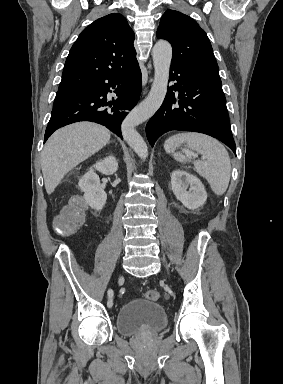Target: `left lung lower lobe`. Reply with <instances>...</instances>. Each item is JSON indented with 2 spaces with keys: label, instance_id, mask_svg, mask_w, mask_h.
<instances>
[{
  "label": "left lung lower lobe",
  "instance_id": "obj_1",
  "mask_svg": "<svg viewBox=\"0 0 283 384\" xmlns=\"http://www.w3.org/2000/svg\"><path fill=\"white\" fill-rule=\"evenodd\" d=\"M170 77L176 83L146 127L151 146L166 132L194 131L219 139L236 154L221 79L177 65H171Z\"/></svg>",
  "mask_w": 283,
  "mask_h": 384
}]
</instances>
